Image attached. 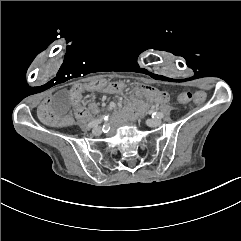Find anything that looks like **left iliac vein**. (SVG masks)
Listing matches in <instances>:
<instances>
[{"label": "left iliac vein", "instance_id": "obj_1", "mask_svg": "<svg viewBox=\"0 0 241 241\" xmlns=\"http://www.w3.org/2000/svg\"><path fill=\"white\" fill-rule=\"evenodd\" d=\"M146 123L150 127H157L161 124V121L159 119H148Z\"/></svg>", "mask_w": 241, "mask_h": 241}]
</instances>
